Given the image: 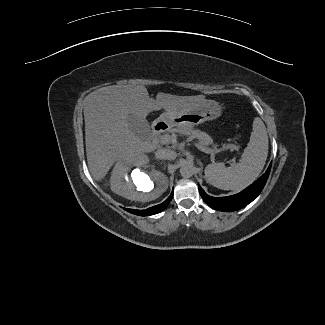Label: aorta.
<instances>
[{
	"label": "aorta",
	"mask_w": 325,
	"mask_h": 325,
	"mask_svg": "<svg viewBox=\"0 0 325 325\" xmlns=\"http://www.w3.org/2000/svg\"><path fill=\"white\" fill-rule=\"evenodd\" d=\"M180 174L184 178H190L194 174L193 167L189 164L182 165L180 168Z\"/></svg>",
	"instance_id": "obj_1"
}]
</instances>
